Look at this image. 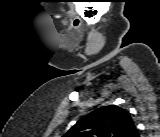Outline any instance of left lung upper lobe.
<instances>
[{
  "mask_svg": "<svg viewBox=\"0 0 160 137\" xmlns=\"http://www.w3.org/2000/svg\"><path fill=\"white\" fill-rule=\"evenodd\" d=\"M138 130L125 109L104 106L81 118L65 137H136Z\"/></svg>",
  "mask_w": 160,
  "mask_h": 137,
  "instance_id": "left-lung-upper-lobe-1",
  "label": "left lung upper lobe"
}]
</instances>
